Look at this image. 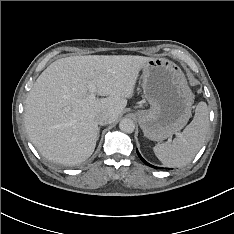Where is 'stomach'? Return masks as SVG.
<instances>
[{
  "instance_id": "1",
  "label": "stomach",
  "mask_w": 234,
  "mask_h": 234,
  "mask_svg": "<svg viewBox=\"0 0 234 234\" xmlns=\"http://www.w3.org/2000/svg\"><path fill=\"white\" fill-rule=\"evenodd\" d=\"M141 69L150 109L138 111V121L145 137L162 141L187 124L193 94L180 67L168 59L151 58Z\"/></svg>"
}]
</instances>
